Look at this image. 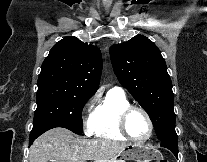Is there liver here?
I'll list each match as a JSON object with an SVG mask.
<instances>
[{
  "label": "liver",
  "instance_id": "obj_1",
  "mask_svg": "<svg viewBox=\"0 0 207 162\" xmlns=\"http://www.w3.org/2000/svg\"><path fill=\"white\" fill-rule=\"evenodd\" d=\"M127 146L109 139L77 138L68 129L53 128L34 141L29 162H112Z\"/></svg>",
  "mask_w": 207,
  "mask_h": 162
}]
</instances>
